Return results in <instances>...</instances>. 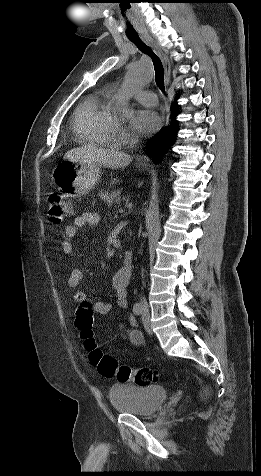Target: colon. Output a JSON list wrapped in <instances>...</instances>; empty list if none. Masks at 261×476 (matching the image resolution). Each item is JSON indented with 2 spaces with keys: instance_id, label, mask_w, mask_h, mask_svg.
Returning <instances> with one entry per match:
<instances>
[{
  "instance_id": "colon-1",
  "label": "colon",
  "mask_w": 261,
  "mask_h": 476,
  "mask_svg": "<svg viewBox=\"0 0 261 476\" xmlns=\"http://www.w3.org/2000/svg\"><path fill=\"white\" fill-rule=\"evenodd\" d=\"M73 215V208L60 194H51L47 198V217L54 223L59 224ZM94 323V310L91 304L82 303L76 311L75 324L81 331L89 352L91 362L97 367L100 374L108 378H117L119 381H132L137 385H149L156 382L158 374L150 368H133L121 365L109 354H105L93 338L92 326ZM203 398L210 396L209 389H204Z\"/></svg>"
}]
</instances>
